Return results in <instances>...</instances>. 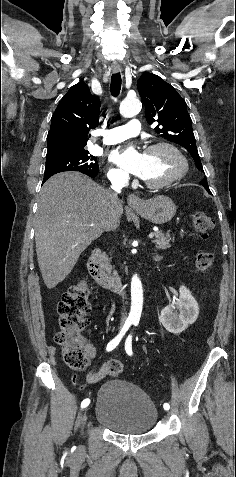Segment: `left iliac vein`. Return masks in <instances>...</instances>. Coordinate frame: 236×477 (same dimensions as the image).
<instances>
[{"label": "left iliac vein", "mask_w": 236, "mask_h": 477, "mask_svg": "<svg viewBox=\"0 0 236 477\" xmlns=\"http://www.w3.org/2000/svg\"><path fill=\"white\" fill-rule=\"evenodd\" d=\"M163 412H164L165 417H167V418L170 417L171 411H170L169 409L164 408V409H163Z\"/></svg>", "instance_id": "4c4485c4"}]
</instances>
